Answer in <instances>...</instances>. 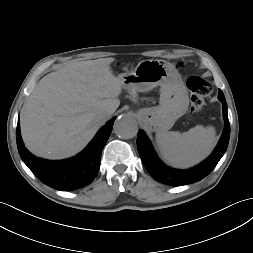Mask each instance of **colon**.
I'll return each mask as SVG.
<instances>
[{
    "label": "colon",
    "mask_w": 253,
    "mask_h": 253,
    "mask_svg": "<svg viewBox=\"0 0 253 253\" xmlns=\"http://www.w3.org/2000/svg\"><path fill=\"white\" fill-rule=\"evenodd\" d=\"M187 86L191 92V111L198 113L205 106V99L211 93V85L202 77L192 76L188 79Z\"/></svg>",
    "instance_id": "colon-1"
}]
</instances>
